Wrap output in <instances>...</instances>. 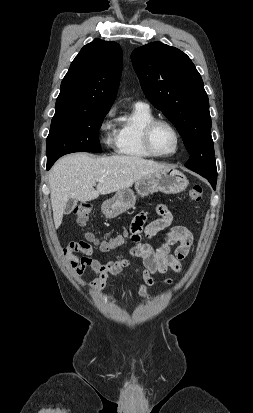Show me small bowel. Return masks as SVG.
Returning <instances> with one entry per match:
<instances>
[{
    "label": "small bowel",
    "mask_w": 253,
    "mask_h": 413,
    "mask_svg": "<svg viewBox=\"0 0 253 413\" xmlns=\"http://www.w3.org/2000/svg\"><path fill=\"white\" fill-rule=\"evenodd\" d=\"M159 218L147 222V212H140L130 225L131 239L135 243L130 250L131 258L140 260L142 266L136 267L135 270L141 275L143 284L141 285L137 296L139 298L147 297V288L154 283V276L165 274L169 270L176 273L182 269V261L188 255L192 245V234L186 226L170 227L173 221V215L170 210L163 204L156 208ZM165 231L163 238L157 246H152L141 241L142 236L153 238L159 232ZM178 244L173 253L170 252L171 245ZM77 252L83 256L78 257ZM93 249L85 241H76L69 243L62 250L68 267L74 275H81L86 268H91L96 278L91 283V288L98 292H106L107 280L110 276L120 274L124 269L132 265V261L123 256H118L106 263H101L92 257ZM171 283V279L166 280Z\"/></svg>",
    "instance_id": "c3829d8e"
}]
</instances>
